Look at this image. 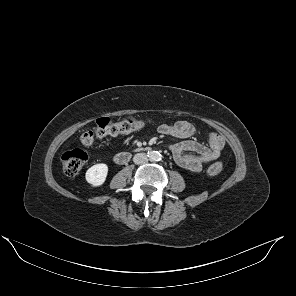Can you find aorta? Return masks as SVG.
<instances>
[{
	"label": "aorta",
	"mask_w": 296,
	"mask_h": 296,
	"mask_svg": "<svg viewBox=\"0 0 296 296\" xmlns=\"http://www.w3.org/2000/svg\"><path fill=\"white\" fill-rule=\"evenodd\" d=\"M161 157H162V155L158 151H152L150 153V159L152 161H159V160H161Z\"/></svg>",
	"instance_id": "762f6f07"
}]
</instances>
